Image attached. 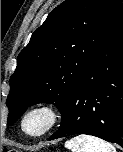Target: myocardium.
<instances>
[{"label":"myocardium","mask_w":123,"mask_h":152,"mask_svg":"<svg viewBox=\"0 0 123 152\" xmlns=\"http://www.w3.org/2000/svg\"><path fill=\"white\" fill-rule=\"evenodd\" d=\"M37 112L45 113L48 117V122H47V125L41 131H39L37 133H31L26 129V121L29 116H31L32 114L37 113ZM59 119H60V112L57 109V107H55L52 104L41 103V104H37V105L31 107L30 109H28L25 112V114L23 115L22 120H21V128H22L23 132L25 134H27L28 136L41 137V136H44L47 133H49L51 130H53L54 127L59 122Z\"/></svg>","instance_id":"f54148a6"}]
</instances>
